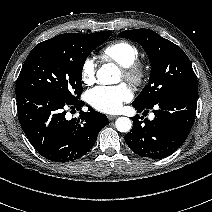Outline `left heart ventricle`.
Wrapping results in <instances>:
<instances>
[{"label": "left heart ventricle", "instance_id": "left-heart-ventricle-1", "mask_svg": "<svg viewBox=\"0 0 212 212\" xmlns=\"http://www.w3.org/2000/svg\"><path fill=\"white\" fill-rule=\"evenodd\" d=\"M121 78H123V75H122V73H121Z\"/></svg>", "mask_w": 212, "mask_h": 212}]
</instances>
